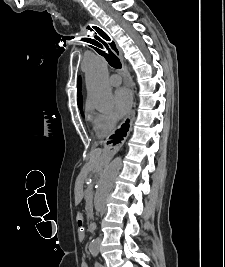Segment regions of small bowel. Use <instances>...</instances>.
<instances>
[{"label": "small bowel", "instance_id": "obj_1", "mask_svg": "<svg viewBox=\"0 0 225 267\" xmlns=\"http://www.w3.org/2000/svg\"><path fill=\"white\" fill-rule=\"evenodd\" d=\"M80 267H89L87 261L83 260Z\"/></svg>", "mask_w": 225, "mask_h": 267}]
</instances>
